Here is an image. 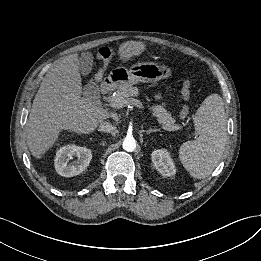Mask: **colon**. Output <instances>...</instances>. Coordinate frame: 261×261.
Wrapping results in <instances>:
<instances>
[{
  "label": "colon",
  "instance_id": "obj_1",
  "mask_svg": "<svg viewBox=\"0 0 261 261\" xmlns=\"http://www.w3.org/2000/svg\"><path fill=\"white\" fill-rule=\"evenodd\" d=\"M110 51L105 49L103 50L100 54H99V57L100 59L102 60H109L110 59ZM182 95L183 96H189L190 95V89H189V84L188 83H184L183 86H182ZM181 115H187L186 112L182 109L181 110Z\"/></svg>",
  "mask_w": 261,
  "mask_h": 261
}]
</instances>
